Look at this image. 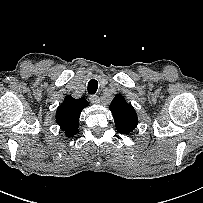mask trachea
<instances>
[{
	"label": "trachea",
	"instance_id": "trachea-1",
	"mask_svg": "<svg viewBox=\"0 0 203 203\" xmlns=\"http://www.w3.org/2000/svg\"><path fill=\"white\" fill-rule=\"evenodd\" d=\"M98 89V82L95 79H92L88 82V93L95 94Z\"/></svg>",
	"mask_w": 203,
	"mask_h": 203
}]
</instances>
